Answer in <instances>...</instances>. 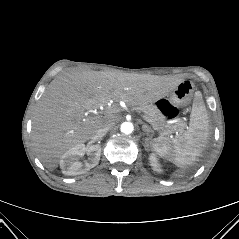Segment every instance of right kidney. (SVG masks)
Instances as JSON below:
<instances>
[{"label": "right kidney", "mask_w": 239, "mask_h": 239, "mask_svg": "<svg viewBox=\"0 0 239 239\" xmlns=\"http://www.w3.org/2000/svg\"><path fill=\"white\" fill-rule=\"evenodd\" d=\"M84 154L88 155V159L81 162L80 158ZM100 154V145L86 147L84 144H79L63 154L60 160V167L65 175L74 176L83 174L98 165Z\"/></svg>", "instance_id": "right-kidney-1"}]
</instances>
